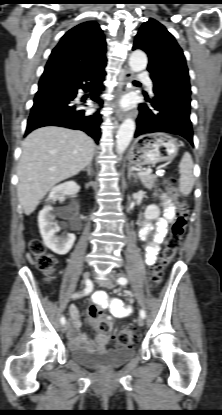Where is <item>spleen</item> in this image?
I'll return each instance as SVG.
<instances>
[{"label":"spleen","mask_w":222,"mask_h":415,"mask_svg":"<svg viewBox=\"0 0 222 415\" xmlns=\"http://www.w3.org/2000/svg\"><path fill=\"white\" fill-rule=\"evenodd\" d=\"M193 170L194 164L191 155L185 152L179 164V191L184 196H188L192 191L195 182Z\"/></svg>","instance_id":"spleen-1"}]
</instances>
